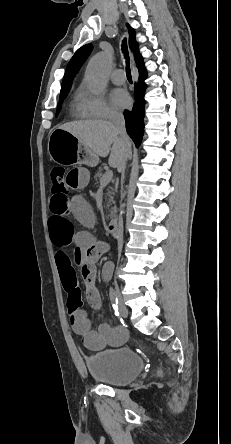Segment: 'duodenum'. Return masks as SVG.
Wrapping results in <instances>:
<instances>
[{"instance_id": "duodenum-1", "label": "duodenum", "mask_w": 231, "mask_h": 444, "mask_svg": "<svg viewBox=\"0 0 231 444\" xmlns=\"http://www.w3.org/2000/svg\"><path fill=\"white\" fill-rule=\"evenodd\" d=\"M118 222H117V219H113V220H111L110 222H109V224H108V233L112 236V237H117L118 235H117V232L119 231L118 229H117V226H118V224H117Z\"/></svg>"}]
</instances>
